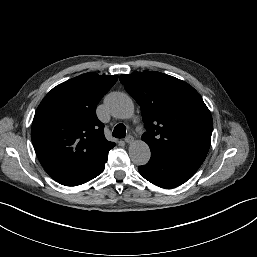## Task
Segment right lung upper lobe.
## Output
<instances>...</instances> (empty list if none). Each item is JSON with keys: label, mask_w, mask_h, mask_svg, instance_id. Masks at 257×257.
Masks as SVG:
<instances>
[{"label": "right lung upper lobe", "mask_w": 257, "mask_h": 257, "mask_svg": "<svg viewBox=\"0 0 257 257\" xmlns=\"http://www.w3.org/2000/svg\"><path fill=\"white\" fill-rule=\"evenodd\" d=\"M117 79L85 73L59 84L41 101L31 139L42 166L55 181L82 177L115 146L104 136L96 106Z\"/></svg>", "instance_id": "obj_1"}]
</instances>
